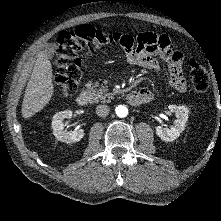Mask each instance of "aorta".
<instances>
[{"label": "aorta", "mask_w": 221, "mask_h": 221, "mask_svg": "<svg viewBox=\"0 0 221 221\" xmlns=\"http://www.w3.org/2000/svg\"><path fill=\"white\" fill-rule=\"evenodd\" d=\"M115 111H116V115L121 118L126 117L128 115V109L127 107L123 105L117 106Z\"/></svg>", "instance_id": "762f6f07"}]
</instances>
